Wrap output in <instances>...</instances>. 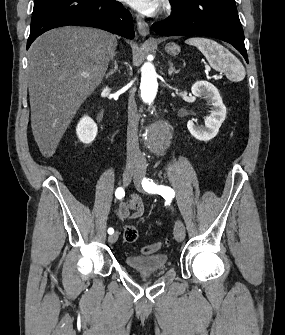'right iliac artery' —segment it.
I'll return each mask as SVG.
<instances>
[{"label":"right iliac artery","mask_w":285,"mask_h":335,"mask_svg":"<svg viewBox=\"0 0 285 335\" xmlns=\"http://www.w3.org/2000/svg\"><path fill=\"white\" fill-rule=\"evenodd\" d=\"M115 196L117 199H122L125 196V191L122 187H119L116 189L115 191ZM108 233L109 234H113L114 233V229L113 228H109L108 229Z\"/></svg>","instance_id":"obj_1"}]
</instances>
